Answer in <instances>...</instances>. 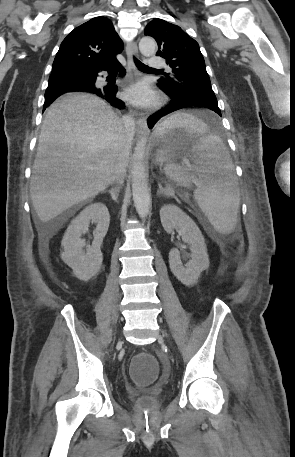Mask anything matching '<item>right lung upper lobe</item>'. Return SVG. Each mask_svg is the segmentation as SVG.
<instances>
[{
    "label": "right lung upper lobe",
    "instance_id": "1",
    "mask_svg": "<svg viewBox=\"0 0 295 457\" xmlns=\"http://www.w3.org/2000/svg\"><path fill=\"white\" fill-rule=\"evenodd\" d=\"M123 42L108 18L99 16L75 28L61 43L49 79L89 76L116 59Z\"/></svg>",
    "mask_w": 295,
    "mask_h": 457
}]
</instances>
